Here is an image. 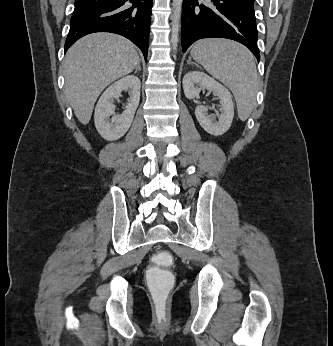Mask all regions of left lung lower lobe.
I'll use <instances>...</instances> for the list:
<instances>
[{"label":"left lung lower lobe","mask_w":333,"mask_h":346,"mask_svg":"<svg viewBox=\"0 0 333 346\" xmlns=\"http://www.w3.org/2000/svg\"><path fill=\"white\" fill-rule=\"evenodd\" d=\"M181 28L183 52L202 38H227L242 43L260 60L254 6L242 0H183Z\"/></svg>","instance_id":"obj_1"}]
</instances>
